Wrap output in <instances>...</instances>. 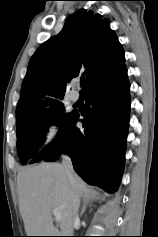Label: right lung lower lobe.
Returning a JSON list of instances; mask_svg holds the SVG:
<instances>
[{
    "instance_id": "1",
    "label": "right lung lower lobe",
    "mask_w": 158,
    "mask_h": 237,
    "mask_svg": "<svg viewBox=\"0 0 158 237\" xmlns=\"http://www.w3.org/2000/svg\"><path fill=\"white\" fill-rule=\"evenodd\" d=\"M129 88L124 64L91 84L85 91L84 118L79 120V114L73 112L60 128V140L52 142L31 163L54 161L62 150L67 151L76 173L83 180L109 193L115 192L124 167ZM78 120L83 129L76 127Z\"/></svg>"
}]
</instances>
